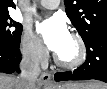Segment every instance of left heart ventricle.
I'll list each match as a JSON object with an SVG mask.
<instances>
[{
  "label": "left heart ventricle",
  "instance_id": "left-heart-ventricle-1",
  "mask_svg": "<svg viewBox=\"0 0 107 89\" xmlns=\"http://www.w3.org/2000/svg\"><path fill=\"white\" fill-rule=\"evenodd\" d=\"M57 55L66 61L73 60L77 55V47L72 38L70 37L63 49Z\"/></svg>",
  "mask_w": 107,
  "mask_h": 89
}]
</instances>
